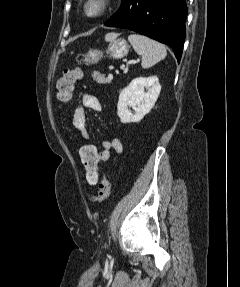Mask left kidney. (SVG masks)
I'll list each match as a JSON object with an SVG mask.
<instances>
[{"mask_svg": "<svg viewBox=\"0 0 240 287\" xmlns=\"http://www.w3.org/2000/svg\"><path fill=\"white\" fill-rule=\"evenodd\" d=\"M145 89L147 92H145ZM161 91L156 76L138 77L125 87L119 95L117 115L122 123L139 122L154 107ZM130 107L134 113L130 111Z\"/></svg>", "mask_w": 240, "mask_h": 287, "instance_id": "left-kidney-1", "label": "left kidney"}]
</instances>
